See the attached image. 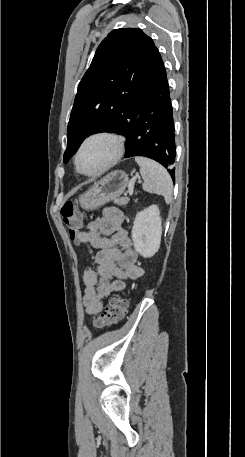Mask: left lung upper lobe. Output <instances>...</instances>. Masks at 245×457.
Listing matches in <instances>:
<instances>
[{
  "label": "left lung upper lobe",
  "mask_w": 245,
  "mask_h": 457,
  "mask_svg": "<svg viewBox=\"0 0 245 457\" xmlns=\"http://www.w3.org/2000/svg\"><path fill=\"white\" fill-rule=\"evenodd\" d=\"M160 61L153 40L141 29H115L108 34L78 85L65 163L87 136L109 132L143 102Z\"/></svg>",
  "instance_id": "left-lung-upper-lobe-1"
}]
</instances>
